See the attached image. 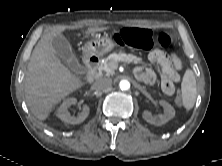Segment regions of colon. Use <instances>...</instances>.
<instances>
[{"instance_id":"1","label":"colon","mask_w":222,"mask_h":166,"mask_svg":"<svg viewBox=\"0 0 222 166\" xmlns=\"http://www.w3.org/2000/svg\"><path fill=\"white\" fill-rule=\"evenodd\" d=\"M114 41L123 46H130L139 49H150L153 46V34L145 28H124L114 34ZM157 43L163 47L171 49L174 44V38L167 32H161L157 36ZM172 82L167 79L165 85L169 86ZM178 106H181V96L178 94L175 98Z\"/></svg>"}]
</instances>
